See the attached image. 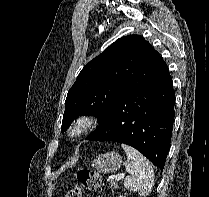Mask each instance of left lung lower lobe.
<instances>
[{
    "mask_svg": "<svg viewBox=\"0 0 209 197\" xmlns=\"http://www.w3.org/2000/svg\"><path fill=\"white\" fill-rule=\"evenodd\" d=\"M175 92L161 56L110 108L86 140L130 145L162 171L170 149Z\"/></svg>",
    "mask_w": 209,
    "mask_h": 197,
    "instance_id": "obj_1",
    "label": "left lung lower lobe"
}]
</instances>
